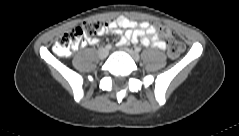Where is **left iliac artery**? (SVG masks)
<instances>
[{
    "label": "left iliac artery",
    "instance_id": "1",
    "mask_svg": "<svg viewBox=\"0 0 239 136\" xmlns=\"http://www.w3.org/2000/svg\"><path fill=\"white\" fill-rule=\"evenodd\" d=\"M135 51H136V52H140L141 49H140L139 47H136V48H135Z\"/></svg>",
    "mask_w": 239,
    "mask_h": 136
}]
</instances>
